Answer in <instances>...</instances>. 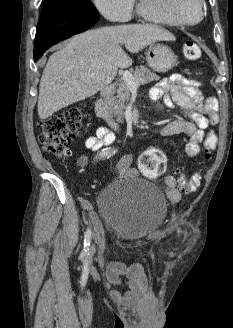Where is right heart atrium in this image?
<instances>
[{"label": "right heart atrium", "instance_id": "right-heart-atrium-1", "mask_svg": "<svg viewBox=\"0 0 233 328\" xmlns=\"http://www.w3.org/2000/svg\"><path fill=\"white\" fill-rule=\"evenodd\" d=\"M97 11L113 22L131 19L136 0H91Z\"/></svg>", "mask_w": 233, "mask_h": 328}]
</instances>
